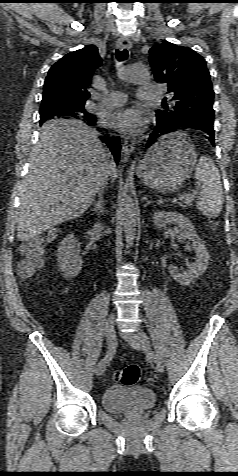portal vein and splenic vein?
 Instances as JSON below:
<instances>
[{
  "label": "portal vein and splenic vein",
  "instance_id": "portal-vein-and-splenic-vein-1",
  "mask_svg": "<svg viewBox=\"0 0 238 476\" xmlns=\"http://www.w3.org/2000/svg\"><path fill=\"white\" fill-rule=\"evenodd\" d=\"M190 195H193V194H185V193L180 194V195L177 197V200L182 201V200H184V199H187Z\"/></svg>",
  "mask_w": 238,
  "mask_h": 476
}]
</instances>
